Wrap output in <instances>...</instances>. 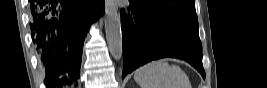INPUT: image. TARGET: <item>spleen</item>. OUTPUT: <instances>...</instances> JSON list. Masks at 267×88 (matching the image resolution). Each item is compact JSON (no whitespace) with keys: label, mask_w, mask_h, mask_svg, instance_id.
I'll use <instances>...</instances> for the list:
<instances>
[{"label":"spleen","mask_w":267,"mask_h":88,"mask_svg":"<svg viewBox=\"0 0 267 88\" xmlns=\"http://www.w3.org/2000/svg\"><path fill=\"white\" fill-rule=\"evenodd\" d=\"M134 79L140 88H191L185 72L165 60L152 61L140 67Z\"/></svg>","instance_id":"3e777b00"}]
</instances>
